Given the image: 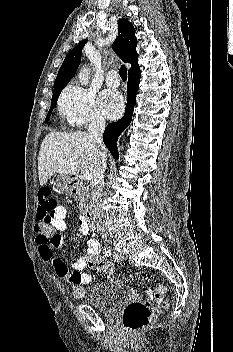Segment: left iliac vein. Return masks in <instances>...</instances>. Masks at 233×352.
<instances>
[{
    "label": "left iliac vein",
    "mask_w": 233,
    "mask_h": 352,
    "mask_svg": "<svg viewBox=\"0 0 233 352\" xmlns=\"http://www.w3.org/2000/svg\"><path fill=\"white\" fill-rule=\"evenodd\" d=\"M117 254L119 256L120 259H125L127 257V254L126 252L123 251V249L119 248L117 250Z\"/></svg>",
    "instance_id": "obj_1"
}]
</instances>
